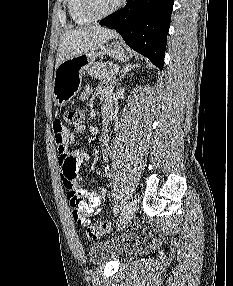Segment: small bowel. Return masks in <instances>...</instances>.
<instances>
[{"label": "small bowel", "mask_w": 233, "mask_h": 286, "mask_svg": "<svg viewBox=\"0 0 233 286\" xmlns=\"http://www.w3.org/2000/svg\"><path fill=\"white\" fill-rule=\"evenodd\" d=\"M95 93H98L102 98L103 117L107 121H110L109 117L111 116L113 118L111 86L107 83L99 84L96 87L86 86L80 95V99L86 101ZM53 128L58 151L61 180L65 190H67L68 193L74 191L79 198L82 199V205L78 209V214L71 208L72 216L79 224H85L88 218L99 208L105 193L101 188L86 189L81 186V179L78 177L77 170L88 160V154L83 150H69V146L75 143V136L63 126L61 122L56 121ZM101 151L105 160L102 173L104 176H107L109 174V166L106 163L109 152V141L107 137H104L101 142Z\"/></svg>", "instance_id": "c3829d8e"}]
</instances>
